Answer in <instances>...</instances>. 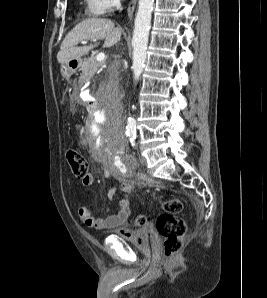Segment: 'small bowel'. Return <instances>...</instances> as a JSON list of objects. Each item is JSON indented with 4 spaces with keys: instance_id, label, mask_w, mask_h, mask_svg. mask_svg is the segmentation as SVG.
Returning a JSON list of instances; mask_svg holds the SVG:
<instances>
[{
    "instance_id": "1",
    "label": "small bowel",
    "mask_w": 267,
    "mask_h": 298,
    "mask_svg": "<svg viewBox=\"0 0 267 298\" xmlns=\"http://www.w3.org/2000/svg\"><path fill=\"white\" fill-rule=\"evenodd\" d=\"M106 174L108 173L106 172ZM116 178L120 184L122 197L119 200V207L115 214H112L104 218L95 217L93 214V210L86 205L81 206L78 210V213L82 222L89 228L97 230L118 229L120 234L128 236L131 234V231L128 228H126L125 225L131 212L129 194L132 190V186L121 175H117ZM93 181V176L89 174L87 180L82 181V183L85 186H90L93 183ZM146 182L149 185L153 184L151 181ZM116 191V187H111L107 192L108 198L112 200L116 195Z\"/></svg>"
}]
</instances>
